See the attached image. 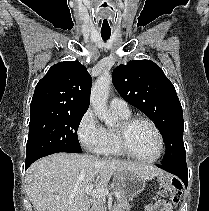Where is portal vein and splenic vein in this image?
Returning <instances> with one entry per match:
<instances>
[{
	"instance_id": "1",
	"label": "portal vein and splenic vein",
	"mask_w": 209,
	"mask_h": 211,
	"mask_svg": "<svg viewBox=\"0 0 209 211\" xmlns=\"http://www.w3.org/2000/svg\"><path fill=\"white\" fill-rule=\"evenodd\" d=\"M85 193L87 195L90 194L93 198L100 199L105 198L108 195L109 191L106 188L94 189V185H90L85 188ZM114 195L115 197H119L120 193L118 191H115Z\"/></svg>"
}]
</instances>
